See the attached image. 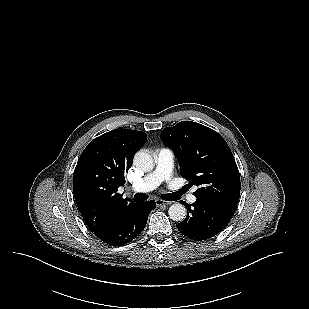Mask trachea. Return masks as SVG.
I'll list each match as a JSON object with an SVG mask.
<instances>
[{"label": "trachea", "mask_w": 309, "mask_h": 309, "mask_svg": "<svg viewBox=\"0 0 309 309\" xmlns=\"http://www.w3.org/2000/svg\"><path fill=\"white\" fill-rule=\"evenodd\" d=\"M189 189L188 185H185L182 189L177 192L168 193L162 195V199L165 201H175L178 200L183 193H185ZM135 201H145L147 200V196L145 194L137 193L134 195Z\"/></svg>", "instance_id": "3493384b"}]
</instances>
